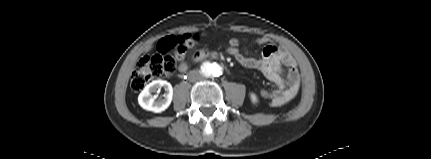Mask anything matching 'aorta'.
I'll list each match as a JSON object with an SVG mask.
<instances>
[{"label":"aorta","mask_w":431,"mask_h":159,"mask_svg":"<svg viewBox=\"0 0 431 159\" xmlns=\"http://www.w3.org/2000/svg\"><path fill=\"white\" fill-rule=\"evenodd\" d=\"M201 73L205 78H216L222 74V67L215 62H205L202 65Z\"/></svg>","instance_id":"1"}]
</instances>
